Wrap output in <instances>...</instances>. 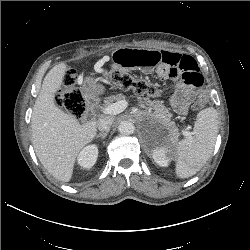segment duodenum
I'll list each match as a JSON object with an SVG mask.
<instances>
[{"mask_svg":"<svg viewBox=\"0 0 250 250\" xmlns=\"http://www.w3.org/2000/svg\"><path fill=\"white\" fill-rule=\"evenodd\" d=\"M95 106H96V100L94 98H92V97L87 98L86 102H85L84 115L87 114V113L93 112Z\"/></svg>","mask_w":250,"mask_h":250,"instance_id":"obj_1","label":"duodenum"}]
</instances>
